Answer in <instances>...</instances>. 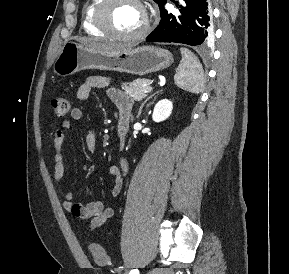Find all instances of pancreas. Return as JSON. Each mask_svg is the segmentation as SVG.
<instances>
[{"mask_svg": "<svg viewBox=\"0 0 289 274\" xmlns=\"http://www.w3.org/2000/svg\"><path fill=\"white\" fill-rule=\"evenodd\" d=\"M151 81L148 79H137L130 83L122 84V90H124L125 94L131 97L136 101H141L146 97V93L144 90L149 87Z\"/></svg>", "mask_w": 289, "mask_h": 274, "instance_id": "1", "label": "pancreas"}]
</instances>
